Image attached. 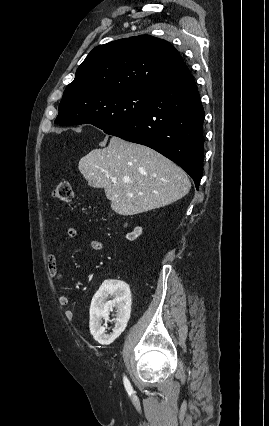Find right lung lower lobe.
I'll use <instances>...</instances> for the list:
<instances>
[{
  "label": "right lung lower lobe",
  "instance_id": "98d812e1",
  "mask_svg": "<svg viewBox=\"0 0 269 426\" xmlns=\"http://www.w3.org/2000/svg\"><path fill=\"white\" fill-rule=\"evenodd\" d=\"M204 109L192 74L153 92L148 107L105 133L146 145L182 167L198 190L203 174Z\"/></svg>",
  "mask_w": 269,
  "mask_h": 426
}]
</instances>
